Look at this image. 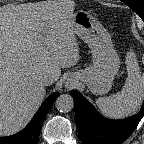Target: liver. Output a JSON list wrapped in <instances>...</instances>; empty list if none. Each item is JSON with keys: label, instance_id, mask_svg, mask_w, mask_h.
Instances as JSON below:
<instances>
[{"label": "liver", "instance_id": "liver-1", "mask_svg": "<svg viewBox=\"0 0 144 144\" xmlns=\"http://www.w3.org/2000/svg\"><path fill=\"white\" fill-rule=\"evenodd\" d=\"M73 10L72 0H53L0 11V136L31 120L46 93L44 76L57 81L61 68L78 62Z\"/></svg>", "mask_w": 144, "mask_h": 144}]
</instances>
